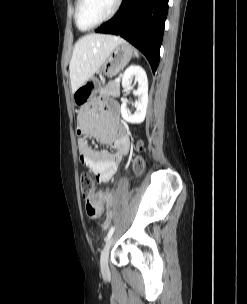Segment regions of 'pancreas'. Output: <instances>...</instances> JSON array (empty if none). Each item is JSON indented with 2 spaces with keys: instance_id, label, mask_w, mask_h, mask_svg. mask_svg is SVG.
<instances>
[{
  "instance_id": "cf45deb5",
  "label": "pancreas",
  "mask_w": 247,
  "mask_h": 304,
  "mask_svg": "<svg viewBox=\"0 0 247 304\" xmlns=\"http://www.w3.org/2000/svg\"><path fill=\"white\" fill-rule=\"evenodd\" d=\"M99 93L102 96L116 97L120 93V82L109 81L104 87L99 89Z\"/></svg>"
}]
</instances>
